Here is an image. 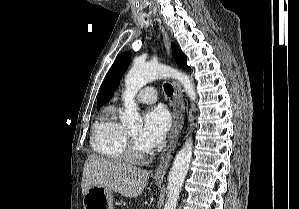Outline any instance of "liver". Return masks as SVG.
I'll use <instances>...</instances> for the list:
<instances>
[{"mask_svg":"<svg viewBox=\"0 0 299 209\" xmlns=\"http://www.w3.org/2000/svg\"><path fill=\"white\" fill-rule=\"evenodd\" d=\"M149 172L145 169L97 155L88 156L82 178V193L94 187H104L126 197L141 194L147 184Z\"/></svg>","mask_w":299,"mask_h":209,"instance_id":"obj_1","label":"liver"}]
</instances>
